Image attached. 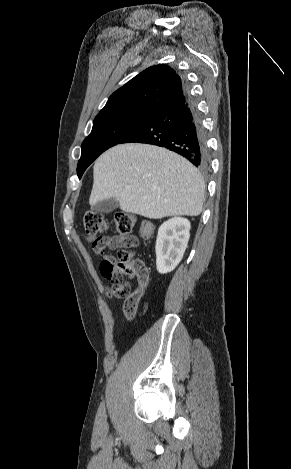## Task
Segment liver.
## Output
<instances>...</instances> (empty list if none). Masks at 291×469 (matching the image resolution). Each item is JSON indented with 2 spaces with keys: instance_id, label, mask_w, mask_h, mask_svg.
I'll return each mask as SVG.
<instances>
[{
  "instance_id": "1",
  "label": "liver",
  "mask_w": 291,
  "mask_h": 469,
  "mask_svg": "<svg viewBox=\"0 0 291 469\" xmlns=\"http://www.w3.org/2000/svg\"><path fill=\"white\" fill-rule=\"evenodd\" d=\"M205 183L185 158L148 144H119L104 152L93 168L91 206L113 198L121 210L150 219L198 216Z\"/></svg>"
}]
</instances>
